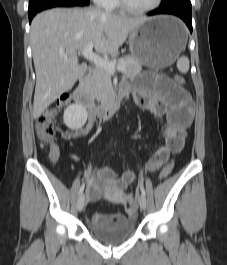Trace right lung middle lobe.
I'll use <instances>...</instances> for the list:
<instances>
[{
	"instance_id": "right-lung-middle-lobe-1",
	"label": "right lung middle lobe",
	"mask_w": 227,
	"mask_h": 265,
	"mask_svg": "<svg viewBox=\"0 0 227 265\" xmlns=\"http://www.w3.org/2000/svg\"><path fill=\"white\" fill-rule=\"evenodd\" d=\"M46 1H48V0H30L28 11H32V10L38 8L39 6H41Z\"/></svg>"
}]
</instances>
